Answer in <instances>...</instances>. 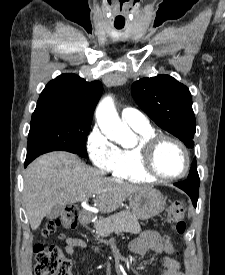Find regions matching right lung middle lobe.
Here are the masks:
<instances>
[{"label": "right lung middle lobe", "instance_id": "dd1d6c3e", "mask_svg": "<svg viewBox=\"0 0 225 275\" xmlns=\"http://www.w3.org/2000/svg\"><path fill=\"white\" fill-rule=\"evenodd\" d=\"M91 122V119L74 117L32 119L26 159L32 161L43 153L55 150L69 151L87 158L85 144Z\"/></svg>", "mask_w": 225, "mask_h": 275}]
</instances>
